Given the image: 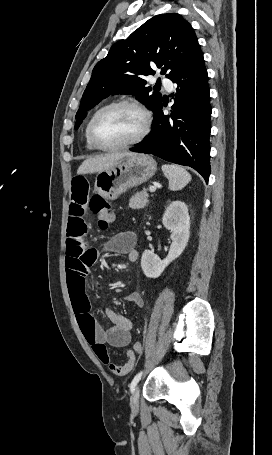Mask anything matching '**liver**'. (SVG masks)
I'll list each match as a JSON object with an SVG mask.
<instances>
[{"label":"liver","instance_id":"obj_1","mask_svg":"<svg viewBox=\"0 0 272 455\" xmlns=\"http://www.w3.org/2000/svg\"><path fill=\"white\" fill-rule=\"evenodd\" d=\"M132 155L134 153H114L88 158L79 166L77 174L82 175L109 170L118 165L119 161L124 157Z\"/></svg>","mask_w":272,"mask_h":455}]
</instances>
